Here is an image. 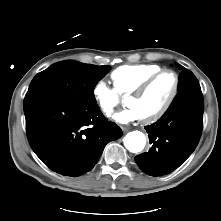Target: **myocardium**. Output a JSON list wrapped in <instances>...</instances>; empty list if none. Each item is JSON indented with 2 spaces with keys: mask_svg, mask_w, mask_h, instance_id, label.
I'll use <instances>...</instances> for the list:
<instances>
[{
  "mask_svg": "<svg viewBox=\"0 0 221 221\" xmlns=\"http://www.w3.org/2000/svg\"><path fill=\"white\" fill-rule=\"evenodd\" d=\"M165 73L172 74V76L174 78V84H173L172 91H171L166 103L162 106V108H160L157 112H155L154 114H152L149 117L141 118L143 123H146V124L154 123V122L158 121L159 119H161L169 111V109L171 108L172 104L174 103V101L177 97L178 91H179V86H180L179 75L173 69H169V68L161 69L158 72L152 74L150 77H148L138 88H136L134 91H132L129 94V97H140V96L144 95L147 92V90L150 88V86L153 84V82Z\"/></svg>",
  "mask_w": 221,
  "mask_h": 221,
  "instance_id": "f54148a6",
  "label": "myocardium"
}]
</instances>
